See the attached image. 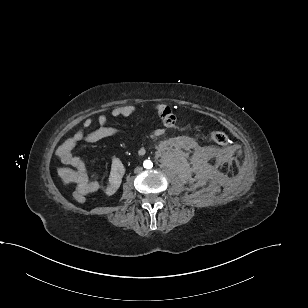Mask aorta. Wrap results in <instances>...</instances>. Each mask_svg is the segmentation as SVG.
I'll list each match as a JSON object with an SVG mask.
<instances>
[{
  "label": "aorta",
  "instance_id": "762f6f07",
  "mask_svg": "<svg viewBox=\"0 0 308 308\" xmlns=\"http://www.w3.org/2000/svg\"><path fill=\"white\" fill-rule=\"evenodd\" d=\"M143 165L146 169H151L153 167V163L150 160L144 161Z\"/></svg>",
  "mask_w": 308,
  "mask_h": 308
}]
</instances>
